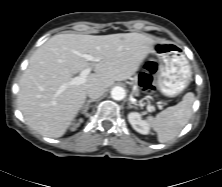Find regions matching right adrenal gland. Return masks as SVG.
<instances>
[{
	"instance_id": "1",
	"label": "right adrenal gland",
	"mask_w": 222,
	"mask_h": 187,
	"mask_svg": "<svg viewBox=\"0 0 222 187\" xmlns=\"http://www.w3.org/2000/svg\"><path fill=\"white\" fill-rule=\"evenodd\" d=\"M95 100L94 99H91V100H88L85 105L82 107V113L85 114L86 116H88V110H89V107H90V103L94 102Z\"/></svg>"
}]
</instances>
